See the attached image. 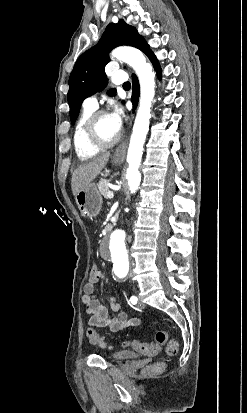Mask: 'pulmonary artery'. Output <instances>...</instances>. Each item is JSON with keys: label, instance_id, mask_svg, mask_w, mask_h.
<instances>
[{"label": "pulmonary artery", "instance_id": "e3ab8cb5", "mask_svg": "<svg viewBox=\"0 0 247 413\" xmlns=\"http://www.w3.org/2000/svg\"><path fill=\"white\" fill-rule=\"evenodd\" d=\"M126 70L120 68L117 70L116 74L109 77V81L112 84L123 85V82L126 81ZM85 103L90 108H95L97 106V93H93L90 96L86 97Z\"/></svg>", "mask_w": 247, "mask_h": 413}]
</instances>
